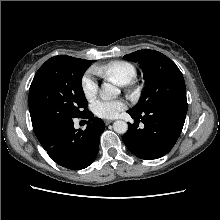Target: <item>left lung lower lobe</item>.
Listing matches in <instances>:
<instances>
[{"label":"left lung lower lobe","instance_id":"1","mask_svg":"<svg viewBox=\"0 0 220 220\" xmlns=\"http://www.w3.org/2000/svg\"><path fill=\"white\" fill-rule=\"evenodd\" d=\"M187 99H175L157 104L142 114L128 113L135 123H128L122 140L135 156L152 160L167 154L181 134L187 113ZM144 128H139V122Z\"/></svg>","mask_w":220,"mask_h":220}]
</instances>
